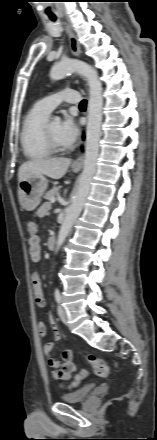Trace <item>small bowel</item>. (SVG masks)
Returning <instances> with one entry per match:
<instances>
[{"label": "small bowel", "mask_w": 157, "mask_h": 440, "mask_svg": "<svg viewBox=\"0 0 157 440\" xmlns=\"http://www.w3.org/2000/svg\"><path fill=\"white\" fill-rule=\"evenodd\" d=\"M50 209L48 203L43 204L39 210L38 215L44 216ZM41 242L38 235L29 238V254L33 262L38 263L41 260ZM31 285L33 288V298L37 306L43 308L45 306V299L42 291V284L40 276L37 272L31 275ZM48 319L53 331V340L44 343L43 352L46 358L47 365L52 368V377L57 381L69 379L76 370L73 363V353L70 350H64L61 353V359L56 360L52 357V350L56 342L61 339V332L56 325L54 317L51 313L48 314ZM37 330L40 338L46 335V326L43 322H39Z\"/></svg>", "instance_id": "obj_1"}]
</instances>
